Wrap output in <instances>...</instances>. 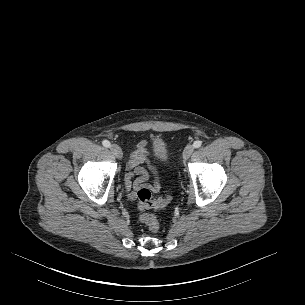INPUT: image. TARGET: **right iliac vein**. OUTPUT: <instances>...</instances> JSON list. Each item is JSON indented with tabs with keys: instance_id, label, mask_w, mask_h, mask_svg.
<instances>
[{
	"instance_id": "right-iliac-vein-1",
	"label": "right iliac vein",
	"mask_w": 305,
	"mask_h": 305,
	"mask_svg": "<svg viewBox=\"0 0 305 305\" xmlns=\"http://www.w3.org/2000/svg\"><path fill=\"white\" fill-rule=\"evenodd\" d=\"M110 150L111 152L117 157V158H121L122 157V150L121 148L116 145V144H112L110 146Z\"/></svg>"
}]
</instances>
